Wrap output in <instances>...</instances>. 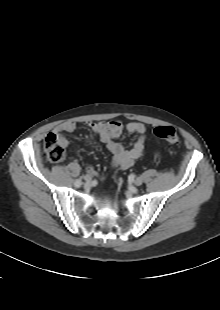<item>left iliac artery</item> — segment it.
Listing matches in <instances>:
<instances>
[{
	"instance_id": "44dca946",
	"label": "left iliac artery",
	"mask_w": 220,
	"mask_h": 310,
	"mask_svg": "<svg viewBox=\"0 0 220 310\" xmlns=\"http://www.w3.org/2000/svg\"><path fill=\"white\" fill-rule=\"evenodd\" d=\"M135 175L134 174H130L128 177V182L132 183L134 181Z\"/></svg>"
}]
</instances>
